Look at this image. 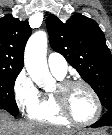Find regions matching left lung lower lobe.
<instances>
[{"mask_svg":"<svg viewBox=\"0 0 112 135\" xmlns=\"http://www.w3.org/2000/svg\"><path fill=\"white\" fill-rule=\"evenodd\" d=\"M102 126H112V109L107 110L106 113L98 122L91 125V127L93 128L102 127Z\"/></svg>","mask_w":112,"mask_h":135,"instance_id":"obj_1","label":"left lung lower lobe"}]
</instances>
